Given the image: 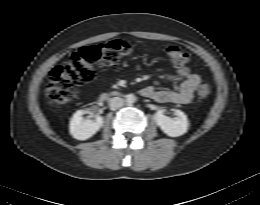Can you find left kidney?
Masks as SVG:
<instances>
[{"instance_id": "5707ae66", "label": "left kidney", "mask_w": 260, "mask_h": 205, "mask_svg": "<svg viewBox=\"0 0 260 205\" xmlns=\"http://www.w3.org/2000/svg\"><path fill=\"white\" fill-rule=\"evenodd\" d=\"M175 118H170L163 114V110H158L154 119L161 130L170 137H178L185 134L189 127L187 116L180 110H175Z\"/></svg>"}]
</instances>
